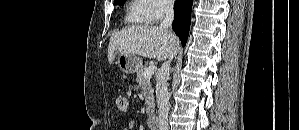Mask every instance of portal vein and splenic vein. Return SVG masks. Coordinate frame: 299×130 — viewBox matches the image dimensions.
I'll return each mask as SVG.
<instances>
[{"mask_svg": "<svg viewBox=\"0 0 299 130\" xmlns=\"http://www.w3.org/2000/svg\"><path fill=\"white\" fill-rule=\"evenodd\" d=\"M157 70V67L155 65L149 66L145 72L144 75L145 77L149 78L151 75H153Z\"/></svg>", "mask_w": 299, "mask_h": 130, "instance_id": "1", "label": "portal vein and splenic vein"}]
</instances>
